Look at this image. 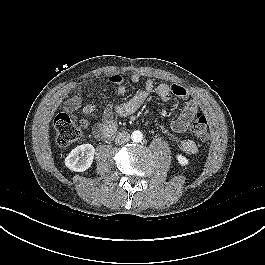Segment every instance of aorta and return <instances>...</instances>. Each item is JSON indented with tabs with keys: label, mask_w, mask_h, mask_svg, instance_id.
I'll use <instances>...</instances> for the list:
<instances>
[{
	"label": "aorta",
	"mask_w": 265,
	"mask_h": 265,
	"mask_svg": "<svg viewBox=\"0 0 265 265\" xmlns=\"http://www.w3.org/2000/svg\"><path fill=\"white\" fill-rule=\"evenodd\" d=\"M131 139L132 141L134 142H141L142 139H143V135L140 131H133L132 134H131Z\"/></svg>",
	"instance_id": "obj_1"
}]
</instances>
